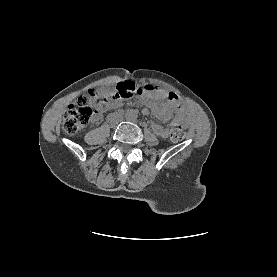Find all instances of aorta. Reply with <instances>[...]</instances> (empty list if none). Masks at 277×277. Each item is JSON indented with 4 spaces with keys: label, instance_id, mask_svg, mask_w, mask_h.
<instances>
[{
    "label": "aorta",
    "instance_id": "obj_1",
    "mask_svg": "<svg viewBox=\"0 0 277 277\" xmlns=\"http://www.w3.org/2000/svg\"><path fill=\"white\" fill-rule=\"evenodd\" d=\"M137 117H138L137 111L134 109H129L125 113V118L127 121L133 122L137 119Z\"/></svg>",
    "mask_w": 277,
    "mask_h": 277
}]
</instances>
